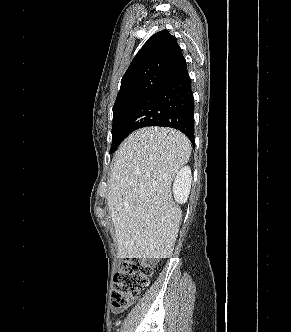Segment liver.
Wrapping results in <instances>:
<instances>
[{
    "mask_svg": "<svg viewBox=\"0 0 291 332\" xmlns=\"http://www.w3.org/2000/svg\"><path fill=\"white\" fill-rule=\"evenodd\" d=\"M190 155L189 139L171 128H141L120 145L107 195L118 258L172 256L182 211L171 184Z\"/></svg>",
    "mask_w": 291,
    "mask_h": 332,
    "instance_id": "obj_1",
    "label": "liver"
}]
</instances>
